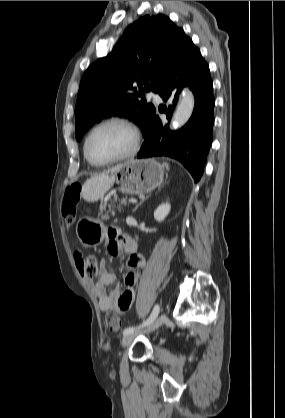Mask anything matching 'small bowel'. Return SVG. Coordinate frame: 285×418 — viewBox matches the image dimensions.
I'll list each match as a JSON object with an SVG mask.
<instances>
[{"label": "small bowel", "instance_id": "1", "mask_svg": "<svg viewBox=\"0 0 285 418\" xmlns=\"http://www.w3.org/2000/svg\"><path fill=\"white\" fill-rule=\"evenodd\" d=\"M106 248L109 254L114 257L120 256L123 251L129 254V258L121 270L124 273L125 289L122 292L117 288L108 290V287L115 283L117 275L107 269L104 258L100 261L99 277L95 281H88V283L98 298V306L102 312L117 311L125 315L132 308L136 296L138 275L145 268L146 261L143 256L136 253V243L127 235L109 232Z\"/></svg>", "mask_w": 285, "mask_h": 418}]
</instances>
